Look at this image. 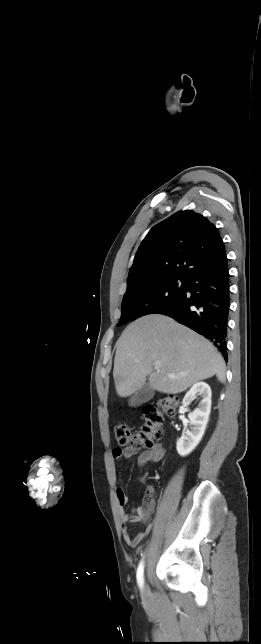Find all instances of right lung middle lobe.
<instances>
[{
	"label": "right lung middle lobe",
	"mask_w": 261,
	"mask_h": 644,
	"mask_svg": "<svg viewBox=\"0 0 261 644\" xmlns=\"http://www.w3.org/2000/svg\"><path fill=\"white\" fill-rule=\"evenodd\" d=\"M185 292V279L169 278L144 283L126 290L118 326L157 313L174 304Z\"/></svg>",
	"instance_id": "1"
}]
</instances>
